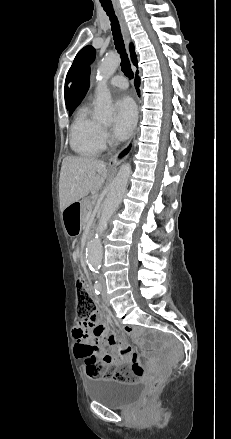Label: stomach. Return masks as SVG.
<instances>
[{
  "label": "stomach",
  "instance_id": "1",
  "mask_svg": "<svg viewBox=\"0 0 231 439\" xmlns=\"http://www.w3.org/2000/svg\"><path fill=\"white\" fill-rule=\"evenodd\" d=\"M67 209L68 207L63 211L64 228L69 235H76L79 232V222L76 219H71L68 217L66 212Z\"/></svg>",
  "mask_w": 231,
  "mask_h": 439
}]
</instances>
